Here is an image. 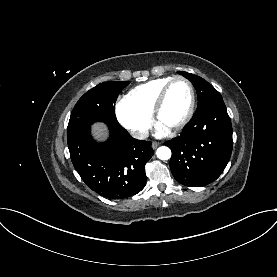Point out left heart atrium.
Wrapping results in <instances>:
<instances>
[{"label":"left heart atrium","mask_w":277,"mask_h":277,"mask_svg":"<svg viewBox=\"0 0 277 277\" xmlns=\"http://www.w3.org/2000/svg\"><path fill=\"white\" fill-rule=\"evenodd\" d=\"M168 131V127H166L165 125L159 123L157 126V135L162 136L165 135Z\"/></svg>","instance_id":"39dd6f15"}]
</instances>
